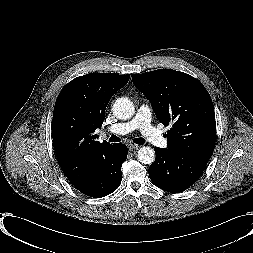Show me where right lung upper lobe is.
<instances>
[{"mask_svg":"<svg viewBox=\"0 0 253 253\" xmlns=\"http://www.w3.org/2000/svg\"><path fill=\"white\" fill-rule=\"evenodd\" d=\"M130 75L90 73L70 81L55 103L52 120L53 145L59 166L68 180L86 185L113 148L94 134L102 126L113 94L125 86Z\"/></svg>","mask_w":253,"mask_h":253,"instance_id":"1","label":"right lung upper lobe"}]
</instances>
